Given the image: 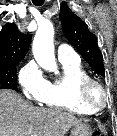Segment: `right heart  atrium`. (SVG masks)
<instances>
[{"mask_svg":"<svg viewBox=\"0 0 117 136\" xmlns=\"http://www.w3.org/2000/svg\"><path fill=\"white\" fill-rule=\"evenodd\" d=\"M23 94L31 100L42 102L47 91L48 81L34 62L27 63L18 74Z\"/></svg>","mask_w":117,"mask_h":136,"instance_id":"right-heart-atrium-1","label":"right heart atrium"}]
</instances>
